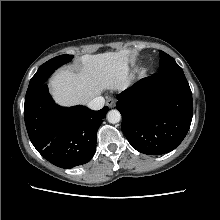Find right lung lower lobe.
Here are the masks:
<instances>
[{"label": "right lung lower lobe", "mask_w": 220, "mask_h": 220, "mask_svg": "<svg viewBox=\"0 0 220 220\" xmlns=\"http://www.w3.org/2000/svg\"><path fill=\"white\" fill-rule=\"evenodd\" d=\"M108 112L85 106L62 108L55 104L46 84L25 97L24 119L29 138L40 154L61 168H73L91 160L97 130Z\"/></svg>", "instance_id": "98d812e1"}]
</instances>
